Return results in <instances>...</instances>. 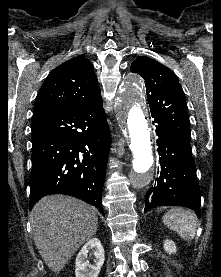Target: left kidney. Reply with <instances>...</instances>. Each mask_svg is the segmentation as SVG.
Instances as JSON below:
<instances>
[{"label": "left kidney", "instance_id": "left-kidney-1", "mask_svg": "<svg viewBox=\"0 0 221 277\" xmlns=\"http://www.w3.org/2000/svg\"><path fill=\"white\" fill-rule=\"evenodd\" d=\"M164 249L169 254L176 253V251H177V247L172 240L164 241Z\"/></svg>", "mask_w": 221, "mask_h": 277}]
</instances>
